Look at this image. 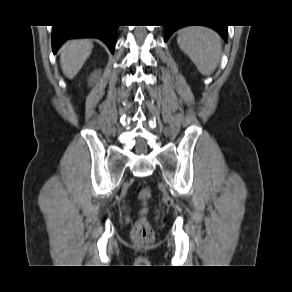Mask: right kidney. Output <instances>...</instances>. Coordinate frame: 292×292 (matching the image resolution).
<instances>
[{
    "instance_id": "right-kidney-1",
    "label": "right kidney",
    "mask_w": 292,
    "mask_h": 292,
    "mask_svg": "<svg viewBox=\"0 0 292 292\" xmlns=\"http://www.w3.org/2000/svg\"><path fill=\"white\" fill-rule=\"evenodd\" d=\"M97 76H98V72H94V73L91 75V77H90V82L95 81V79L97 78Z\"/></svg>"
}]
</instances>
